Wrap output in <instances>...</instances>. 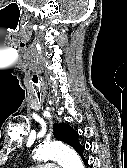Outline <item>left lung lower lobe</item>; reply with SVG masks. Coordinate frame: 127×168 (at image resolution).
Wrapping results in <instances>:
<instances>
[{"mask_svg":"<svg viewBox=\"0 0 127 168\" xmlns=\"http://www.w3.org/2000/svg\"><path fill=\"white\" fill-rule=\"evenodd\" d=\"M84 150H85V147L80 145L79 148L77 149V152H78V153L80 154V156L82 157V159H83L85 165H87V164H88V160H86V159L84 158V156H83Z\"/></svg>","mask_w":127,"mask_h":168,"instance_id":"0a47b994","label":"left lung lower lobe"}]
</instances>
